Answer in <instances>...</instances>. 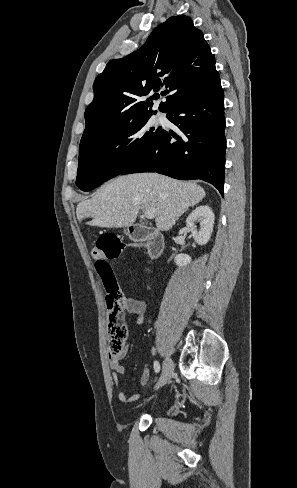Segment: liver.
<instances>
[{
    "mask_svg": "<svg viewBox=\"0 0 297 488\" xmlns=\"http://www.w3.org/2000/svg\"><path fill=\"white\" fill-rule=\"evenodd\" d=\"M205 197L204 189L158 173L119 176L102 186L91 199L76 208L79 221L92 218L89 225L125 228L132 225L140 210L154 208L158 229L167 231L188 210Z\"/></svg>",
    "mask_w": 297,
    "mask_h": 488,
    "instance_id": "liver-1",
    "label": "liver"
}]
</instances>
